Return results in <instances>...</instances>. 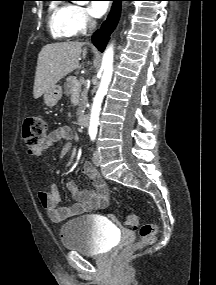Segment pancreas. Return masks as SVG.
Here are the masks:
<instances>
[{
	"mask_svg": "<svg viewBox=\"0 0 216 285\" xmlns=\"http://www.w3.org/2000/svg\"><path fill=\"white\" fill-rule=\"evenodd\" d=\"M74 81H78L75 76H69L66 78V82L64 84V92L67 96H70L73 92ZM81 82L83 83V80H81ZM78 91L81 94V98H80V103L77 108V115H80L82 111L85 109L86 104H87V91L86 89L81 91V88H79Z\"/></svg>",
	"mask_w": 216,
	"mask_h": 285,
	"instance_id": "1",
	"label": "pancreas"
}]
</instances>
